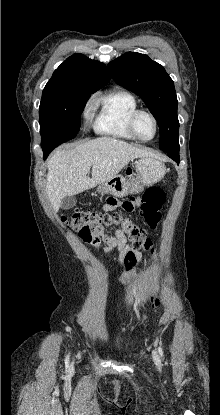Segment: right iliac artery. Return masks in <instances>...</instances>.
Segmentation results:
<instances>
[{
    "label": "right iliac artery",
    "instance_id": "82829eb1",
    "mask_svg": "<svg viewBox=\"0 0 220 415\" xmlns=\"http://www.w3.org/2000/svg\"><path fill=\"white\" fill-rule=\"evenodd\" d=\"M66 361H68V356H67V358H66Z\"/></svg>",
    "mask_w": 220,
    "mask_h": 415
}]
</instances>
